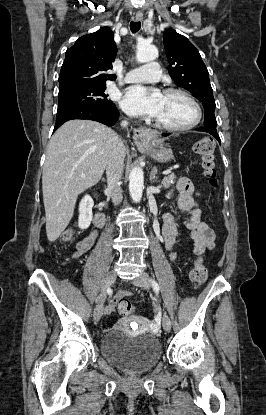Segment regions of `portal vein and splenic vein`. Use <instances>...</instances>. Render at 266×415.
I'll list each match as a JSON object with an SVG mask.
<instances>
[{"mask_svg": "<svg viewBox=\"0 0 266 415\" xmlns=\"http://www.w3.org/2000/svg\"><path fill=\"white\" fill-rule=\"evenodd\" d=\"M170 173H171V170H165V171H163V174H166V175H167V174H170ZM81 177H83V178H84L85 176H84V175H81Z\"/></svg>", "mask_w": 266, "mask_h": 415, "instance_id": "1", "label": "portal vein and splenic vein"}]
</instances>
